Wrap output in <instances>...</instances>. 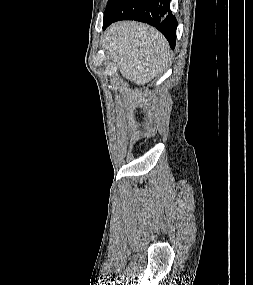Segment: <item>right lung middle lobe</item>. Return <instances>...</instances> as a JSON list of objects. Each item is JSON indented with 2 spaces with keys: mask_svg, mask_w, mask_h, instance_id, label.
<instances>
[{
  "mask_svg": "<svg viewBox=\"0 0 253 285\" xmlns=\"http://www.w3.org/2000/svg\"><path fill=\"white\" fill-rule=\"evenodd\" d=\"M113 1H114V0H109V1H108L107 6H106V10L110 7V5L113 3ZM106 10H105V11H106Z\"/></svg>",
  "mask_w": 253,
  "mask_h": 285,
  "instance_id": "obj_1",
  "label": "right lung middle lobe"
}]
</instances>
